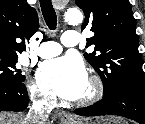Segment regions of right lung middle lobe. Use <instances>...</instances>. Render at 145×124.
Returning <instances> with one entry per match:
<instances>
[{"instance_id": "right-lung-middle-lobe-1", "label": "right lung middle lobe", "mask_w": 145, "mask_h": 124, "mask_svg": "<svg viewBox=\"0 0 145 124\" xmlns=\"http://www.w3.org/2000/svg\"><path fill=\"white\" fill-rule=\"evenodd\" d=\"M18 55L0 52V82L19 83L25 81V76L16 67Z\"/></svg>"}]
</instances>
